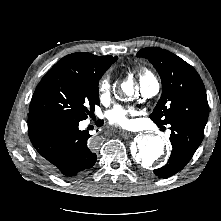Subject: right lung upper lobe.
<instances>
[{
    "instance_id": "1",
    "label": "right lung upper lobe",
    "mask_w": 221,
    "mask_h": 221,
    "mask_svg": "<svg viewBox=\"0 0 221 221\" xmlns=\"http://www.w3.org/2000/svg\"><path fill=\"white\" fill-rule=\"evenodd\" d=\"M117 60L112 56H96L87 52L69 54L60 59L54 66L66 67L82 73H98L109 68Z\"/></svg>"
}]
</instances>
